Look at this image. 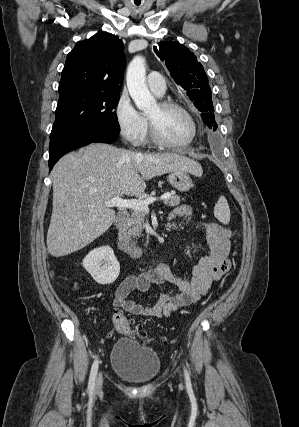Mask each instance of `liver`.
<instances>
[{
    "label": "liver",
    "mask_w": 299,
    "mask_h": 427,
    "mask_svg": "<svg viewBox=\"0 0 299 427\" xmlns=\"http://www.w3.org/2000/svg\"><path fill=\"white\" fill-rule=\"evenodd\" d=\"M202 176L201 165L178 154H147L94 143L66 154L55 165L53 210L47 249L54 257L71 254L108 230L115 211L105 202L144 192L145 180L170 171Z\"/></svg>",
    "instance_id": "liver-1"
}]
</instances>
